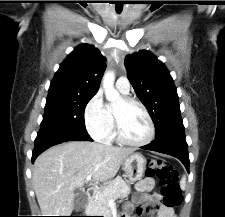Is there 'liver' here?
Wrapping results in <instances>:
<instances>
[{
	"instance_id": "obj_1",
	"label": "liver",
	"mask_w": 225,
	"mask_h": 217,
	"mask_svg": "<svg viewBox=\"0 0 225 217\" xmlns=\"http://www.w3.org/2000/svg\"><path fill=\"white\" fill-rule=\"evenodd\" d=\"M120 148L87 141H70L53 146L34 162L32 182L43 216H70L74 191L86 183L108 182L123 161L133 154Z\"/></svg>"
}]
</instances>
